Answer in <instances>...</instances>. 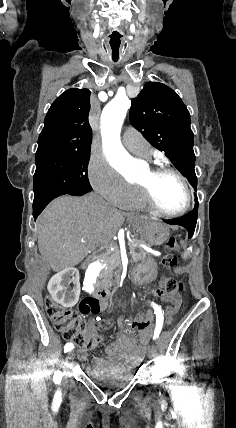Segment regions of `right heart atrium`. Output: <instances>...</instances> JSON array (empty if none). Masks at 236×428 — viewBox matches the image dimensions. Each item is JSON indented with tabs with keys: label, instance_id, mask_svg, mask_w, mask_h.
<instances>
[{
	"label": "right heart atrium",
	"instance_id": "obj_1",
	"mask_svg": "<svg viewBox=\"0 0 236 428\" xmlns=\"http://www.w3.org/2000/svg\"><path fill=\"white\" fill-rule=\"evenodd\" d=\"M88 178L101 200H109V206H124L131 196L132 187L102 158L90 161Z\"/></svg>",
	"mask_w": 236,
	"mask_h": 428
}]
</instances>
